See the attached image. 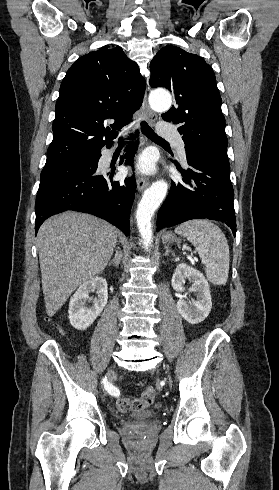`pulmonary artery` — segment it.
I'll use <instances>...</instances> for the list:
<instances>
[{
  "mask_svg": "<svg viewBox=\"0 0 279 490\" xmlns=\"http://www.w3.org/2000/svg\"><path fill=\"white\" fill-rule=\"evenodd\" d=\"M156 128L160 131L161 140H176L179 134L177 128H171L170 122H159ZM176 145L181 152H184V143L181 140H177Z\"/></svg>",
  "mask_w": 279,
  "mask_h": 490,
  "instance_id": "pulmonary-artery-1",
  "label": "pulmonary artery"
}]
</instances>
